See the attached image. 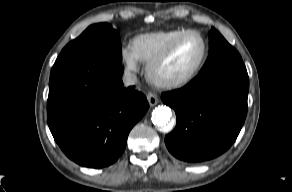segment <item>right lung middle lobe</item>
Segmentation results:
<instances>
[{
  "mask_svg": "<svg viewBox=\"0 0 292 192\" xmlns=\"http://www.w3.org/2000/svg\"><path fill=\"white\" fill-rule=\"evenodd\" d=\"M103 54L121 63L119 32L108 23L89 26L78 38L68 43L59 56Z\"/></svg>",
  "mask_w": 292,
  "mask_h": 192,
  "instance_id": "dd1d6c3e",
  "label": "right lung middle lobe"
}]
</instances>
